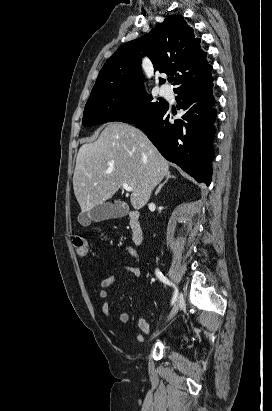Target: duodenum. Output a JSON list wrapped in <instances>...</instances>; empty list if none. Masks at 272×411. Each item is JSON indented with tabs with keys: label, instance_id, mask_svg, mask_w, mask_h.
<instances>
[{
	"label": "duodenum",
	"instance_id": "1",
	"mask_svg": "<svg viewBox=\"0 0 272 411\" xmlns=\"http://www.w3.org/2000/svg\"><path fill=\"white\" fill-rule=\"evenodd\" d=\"M128 223L130 227V236L135 245H140L145 237L144 230L140 224L139 213L132 210L128 213Z\"/></svg>",
	"mask_w": 272,
	"mask_h": 411
}]
</instances>
